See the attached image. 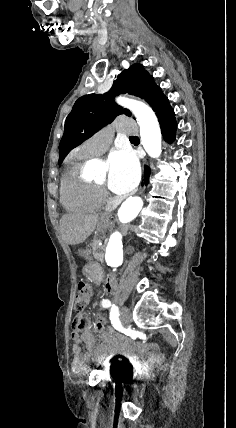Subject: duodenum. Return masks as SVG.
<instances>
[{
	"label": "duodenum",
	"mask_w": 236,
	"mask_h": 428,
	"mask_svg": "<svg viewBox=\"0 0 236 428\" xmlns=\"http://www.w3.org/2000/svg\"><path fill=\"white\" fill-rule=\"evenodd\" d=\"M108 279H109V280H116V277H115L114 275H110V276L108 277Z\"/></svg>",
	"instance_id": "1"
}]
</instances>
